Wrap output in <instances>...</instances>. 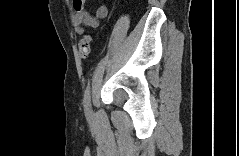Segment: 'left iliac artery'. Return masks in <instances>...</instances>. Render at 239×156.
<instances>
[{"mask_svg":"<svg viewBox=\"0 0 239 156\" xmlns=\"http://www.w3.org/2000/svg\"><path fill=\"white\" fill-rule=\"evenodd\" d=\"M83 102L85 104L86 107H90L91 106V99H90V85L88 84L85 91H84V98H83Z\"/></svg>","mask_w":239,"mask_h":156,"instance_id":"obj_1","label":"left iliac artery"}]
</instances>
